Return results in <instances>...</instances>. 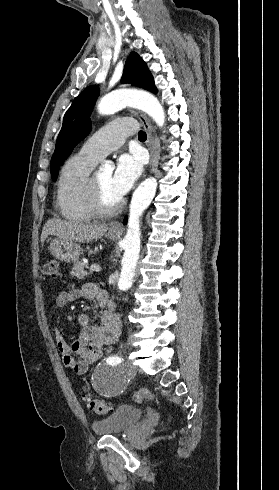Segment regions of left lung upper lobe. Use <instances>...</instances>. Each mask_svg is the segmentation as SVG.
<instances>
[{
	"label": "left lung upper lobe",
	"instance_id": "1",
	"mask_svg": "<svg viewBox=\"0 0 279 490\" xmlns=\"http://www.w3.org/2000/svg\"><path fill=\"white\" fill-rule=\"evenodd\" d=\"M121 82L123 84L131 83L157 92L153 76L148 71L146 63L135 52H132L127 58ZM98 95L99 88L97 86L87 87L73 100L65 113L50 163L53 181L57 178L59 165L68 157L74 147L89 134L92 128L89 115Z\"/></svg>",
	"mask_w": 279,
	"mask_h": 490
}]
</instances>
